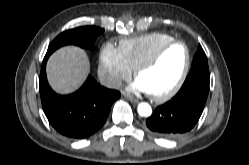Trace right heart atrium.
<instances>
[{
    "mask_svg": "<svg viewBox=\"0 0 249 165\" xmlns=\"http://www.w3.org/2000/svg\"><path fill=\"white\" fill-rule=\"evenodd\" d=\"M98 74L106 86L117 88L124 80L131 77L132 70L125 62L119 48L106 44L99 55Z\"/></svg>",
    "mask_w": 249,
    "mask_h": 165,
    "instance_id": "right-heart-atrium-1",
    "label": "right heart atrium"
}]
</instances>
